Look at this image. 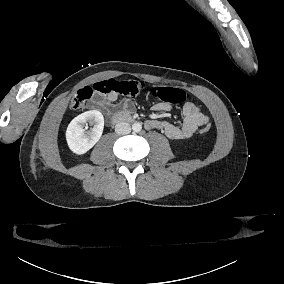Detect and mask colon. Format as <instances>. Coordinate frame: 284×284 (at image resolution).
<instances>
[{
	"mask_svg": "<svg viewBox=\"0 0 284 284\" xmlns=\"http://www.w3.org/2000/svg\"><path fill=\"white\" fill-rule=\"evenodd\" d=\"M146 83L143 80L135 81H119V80H103L97 81L92 84L84 86L71 98L70 104L73 109L81 108L88 100H90L94 94L100 93H119L126 96H134L140 93L145 88ZM152 97L157 99H163L167 103L173 105H183L187 103L189 96L182 87H162L154 85L150 89ZM213 129L211 122H206L204 127L200 130V133L208 134Z\"/></svg>",
	"mask_w": 284,
	"mask_h": 284,
	"instance_id": "1",
	"label": "colon"
}]
</instances>
